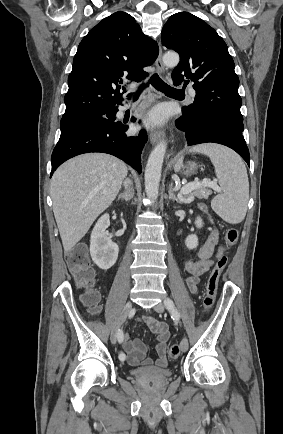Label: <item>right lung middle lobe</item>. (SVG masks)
Wrapping results in <instances>:
<instances>
[{"label":"right lung middle lobe","instance_id":"right-lung-middle-lobe-1","mask_svg":"<svg viewBox=\"0 0 283 434\" xmlns=\"http://www.w3.org/2000/svg\"><path fill=\"white\" fill-rule=\"evenodd\" d=\"M106 114H107V112L101 113L99 115L92 116V117H89V118H84V119H61V125H60L61 131L65 130V129H67V128L75 125V124H78V123H80V122H82L84 120L97 119V118L105 117Z\"/></svg>","mask_w":283,"mask_h":434}]
</instances>
